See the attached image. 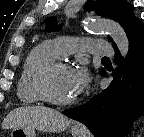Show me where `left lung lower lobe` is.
Returning a JSON list of instances; mask_svg holds the SVG:
<instances>
[{
	"label": "left lung lower lobe",
	"mask_w": 144,
	"mask_h": 137,
	"mask_svg": "<svg viewBox=\"0 0 144 137\" xmlns=\"http://www.w3.org/2000/svg\"><path fill=\"white\" fill-rule=\"evenodd\" d=\"M129 52L122 59L114 47L118 69L113 81L87 103L67 109L66 116L84 123L96 137H123L135 118L144 113V26L129 34ZM105 74V71L103 72Z\"/></svg>",
	"instance_id": "obj_1"
}]
</instances>
